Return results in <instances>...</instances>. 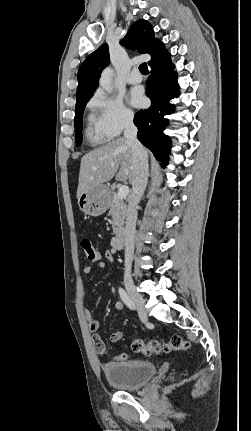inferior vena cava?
<instances>
[{
  "instance_id": "inferior-vena-cava-1",
  "label": "inferior vena cava",
  "mask_w": 251,
  "mask_h": 431,
  "mask_svg": "<svg viewBox=\"0 0 251 431\" xmlns=\"http://www.w3.org/2000/svg\"><path fill=\"white\" fill-rule=\"evenodd\" d=\"M124 138L131 145L135 165V174L132 181V193L129 197L124 229L125 241V278H131V265L134 255V236L137 221V206L143 196L148 183V160L142 144L137 139V127L133 119L126 121Z\"/></svg>"
}]
</instances>
